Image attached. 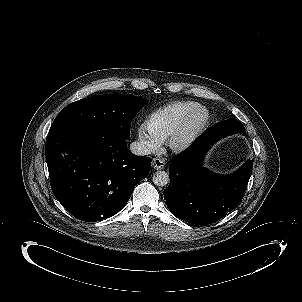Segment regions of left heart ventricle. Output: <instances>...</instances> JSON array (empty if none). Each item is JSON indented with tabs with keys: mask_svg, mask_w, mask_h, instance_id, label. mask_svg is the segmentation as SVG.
<instances>
[{
	"mask_svg": "<svg viewBox=\"0 0 302 302\" xmlns=\"http://www.w3.org/2000/svg\"><path fill=\"white\" fill-rule=\"evenodd\" d=\"M202 119V116L201 115H197L195 118H193L189 124L187 125V128H186V131L185 132H188L190 131L193 127H195V125H197L200 120Z\"/></svg>",
	"mask_w": 302,
	"mask_h": 302,
	"instance_id": "b2bd125f",
	"label": "left heart ventricle"
}]
</instances>
